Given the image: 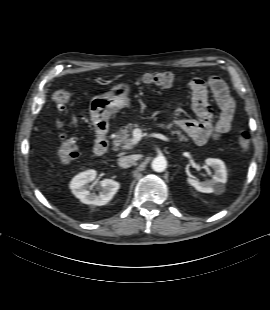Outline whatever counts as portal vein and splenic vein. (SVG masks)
<instances>
[{
    "label": "portal vein and splenic vein",
    "mask_w": 270,
    "mask_h": 310,
    "mask_svg": "<svg viewBox=\"0 0 270 310\" xmlns=\"http://www.w3.org/2000/svg\"><path fill=\"white\" fill-rule=\"evenodd\" d=\"M144 135L142 134L141 130L139 128H136L133 130V138L131 139L130 143L128 144V148L137 144L143 137ZM150 137H155L164 141H169L167 137H165L162 134L159 133H152L149 135Z\"/></svg>",
    "instance_id": "obj_1"
}]
</instances>
